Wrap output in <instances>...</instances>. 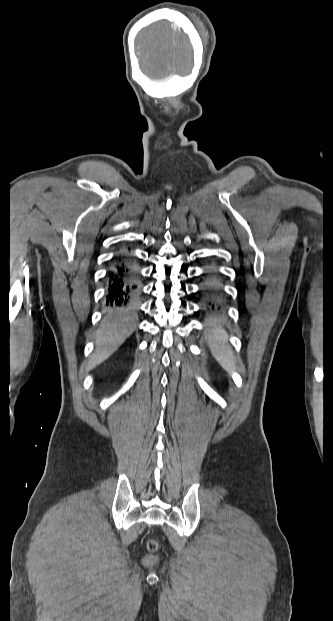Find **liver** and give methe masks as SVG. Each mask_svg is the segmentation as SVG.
Wrapping results in <instances>:
<instances>
[{
	"instance_id": "obj_1",
	"label": "liver",
	"mask_w": 333,
	"mask_h": 621,
	"mask_svg": "<svg viewBox=\"0 0 333 621\" xmlns=\"http://www.w3.org/2000/svg\"><path fill=\"white\" fill-rule=\"evenodd\" d=\"M134 331L133 316L114 314L107 316L96 334V352L87 368L92 369L111 356Z\"/></svg>"
}]
</instances>
